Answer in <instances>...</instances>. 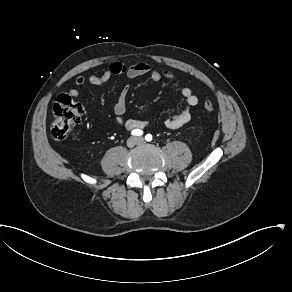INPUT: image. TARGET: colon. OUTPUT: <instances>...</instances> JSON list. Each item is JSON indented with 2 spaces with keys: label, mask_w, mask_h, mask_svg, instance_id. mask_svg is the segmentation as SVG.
<instances>
[{
  "label": "colon",
  "mask_w": 292,
  "mask_h": 292,
  "mask_svg": "<svg viewBox=\"0 0 292 292\" xmlns=\"http://www.w3.org/2000/svg\"><path fill=\"white\" fill-rule=\"evenodd\" d=\"M202 107L206 113H211L214 110L213 100L211 98L204 99ZM84 114L83 105L76 102L69 94L58 95L53 105L51 136L57 141H63L71 129L82 121Z\"/></svg>",
  "instance_id": "obj_1"
}]
</instances>
